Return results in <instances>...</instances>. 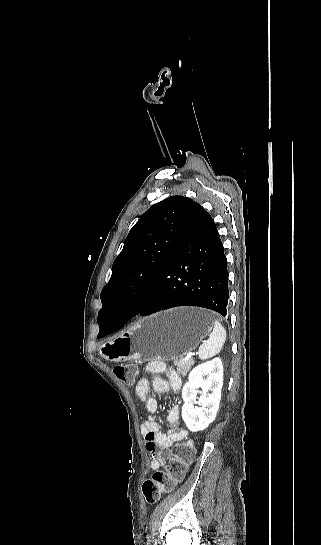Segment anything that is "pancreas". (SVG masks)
I'll list each match as a JSON object with an SVG mask.
<instances>
[{"mask_svg":"<svg viewBox=\"0 0 321 545\" xmlns=\"http://www.w3.org/2000/svg\"><path fill=\"white\" fill-rule=\"evenodd\" d=\"M194 359H179V361H174V367H177V373L186 377L188 371H190L192 365H194Z\"/></svg>","mask_w":321,"mask_h":545,"instance_id":"1","label":"pancreas"}]
</instances>
